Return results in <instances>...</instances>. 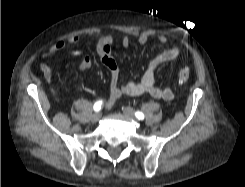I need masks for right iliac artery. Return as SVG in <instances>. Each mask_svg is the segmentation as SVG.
Returning a JSON list of instances; mask_svg holds the SVG:
<instances>
[{
    "instance_id": "1",
    "label": "right iliac artery",
    "mask_w": 245,
    "mask_h": 187,
    "mask_svg": "<svg viewBox=\"0 0 245 187\" xmlns=\"http://www.w3.org/2000/svg\"><path fill=\"white\" fill-rule=\"evenodd\" d=\"M94 110L96 111V112H98V111H100L101 110V108H102V101L100 100V101H97L95 104H94Z\"/></svg>"
}]
</instances>
